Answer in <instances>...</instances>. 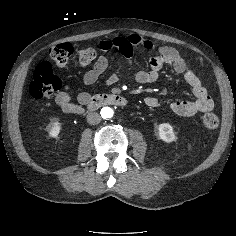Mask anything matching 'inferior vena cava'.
I'll use <instances>...</instances> for the list:
<instances>
[{
	"instance_id": "1",
	"label": "inferior vena cava",
	"mask_w": 236,
	"mask_h": 236,
	"mask_svg": "<svg viewBox=\"0 0 236 236\" xmlns=\"http://www.w3.org/2000/svg\"><path fill=\"white\" fill-rule=\"evenodd\" d=\"M87 122L91 125H96L101 122V116L97 112H90L87 115Z\"/></svg>"
}]
</instances>
